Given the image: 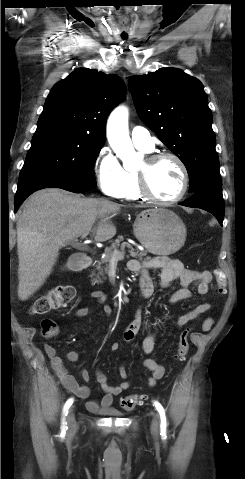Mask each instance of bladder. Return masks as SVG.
I'll return each mask as SVG.
<instances>
[{"mask_svg": "<svg viewBox=\"0 0 245 479\" xmlns=\"http://www.w3.org/2000/svg\"><path fill=\"white\" fill-rule=\"evenodd\" d=\"M107 415H112V416H122L123 413L118 411V410H107L106 411Z\"/></svg>", "mask_w": 245, "mask_h": 479, "instance_id": "obj_1", "label": "bladder"}]
</instances>
